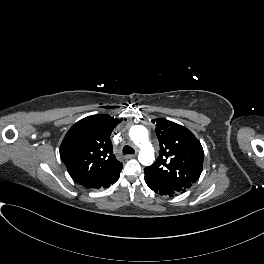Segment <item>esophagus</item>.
Returning a JSON list of instances; mask_svg holds the SVG:
<instances>
[{
	"label": "esophagus",
	"mask_w": 264,
	"mask_h": 264,
	"mask_svg": "<svg viewBox=\"0 0 264 264\" xmlns=\"http://www.w3.org/2000/svg\"><path fill=\"white\" fill-rule=\"evenodd\" d=\"M134 157H136V154H129V155L126 156V158H128V159H131V158H134Z\"/></svg>",
	"instance_id": "34e87169"
}]
</instances>
